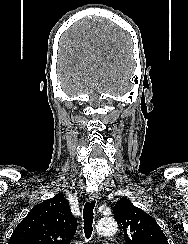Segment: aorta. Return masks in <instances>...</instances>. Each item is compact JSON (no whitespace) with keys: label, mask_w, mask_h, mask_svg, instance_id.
I'll list each match as a JSON object with an SVG mask.
<instances>
[{"label":"aorta","mask_w":188,"mask_h":244,"mask_svg":"<svg viewBox=\"0 0 188 244\" xmlns=\"http://www.w3.org/2000/svg\"><path fill=\"white\" fill-rule=\"evenodd\" d=\"M96 231L102 236H112L117 232V223L113 218H103L97 223Z\"/></svg>","instance_id":"aorta-1"}]
</instances>
